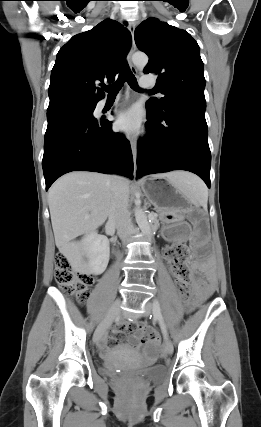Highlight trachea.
I'll list each match as a JSON object with an SVG mask.
<instances>
[{"label": "trachea", "mask_w": 261, "mask_h": 427, "mask_svg": "<svg viewBox=\"0 0 261 427\" xmlns=\"http://www.w3.org/2000/svg\"><path fill=\"white\" fill-rule=\"evenodd\" d=\"M125 81H127V83L129 84V86L132 89L139 90L137 80H136L135 76L133 75V73L131 72V70H130V68L126 62L123 64V66L121 68V71L119 73V77H118L117 81H115L113 84L106 87L105 90L110 95L117 94L121 90Z\"/></svg>", "instance_id": "3493384b"}]
</instances>
